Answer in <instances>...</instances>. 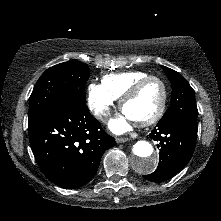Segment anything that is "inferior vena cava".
I'll return each instance as SVG.
<instances>
[{
  "instance_id": "1",
  "label": "inferior vena cava",
  "mask_w": 221,
  "mask_h": 221,
  "mask_svg": "<svg viewBox=\"0 0 221 221\" xmlns=\"http://www.w3.org/2000/svg\"><path fill=\"white\" fill-rule=\"evenodd\" d=\"M101 115H102V116H108V115H110V113H109L108 110H105V111L102 112ZM101 115H100V117H101Z\"/></svg>"
}]
</instances>
